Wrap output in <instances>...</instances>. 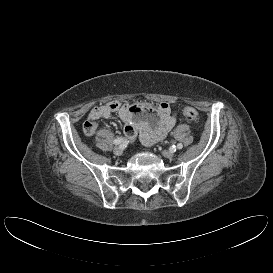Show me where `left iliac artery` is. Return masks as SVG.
Instances as JSON below:
<instances>
[{
	"instance_id": "44dca946",
	"label": "left iliac artery",
	"mask_w": 273,
	"mask_h": 273,
	"mask_svg": "<svg viewBox=\"0 0 273 273\" xmlns=\"http://www.w3.org/2000/svg\"><path fill=\"white\" fill-rule=\"evenodd\" d=\"M177 149H182L183 148V145L181 143L177 144ZM172 151H176V149H174V146L172 148Z\"/></svg>"
}]
</instances>
